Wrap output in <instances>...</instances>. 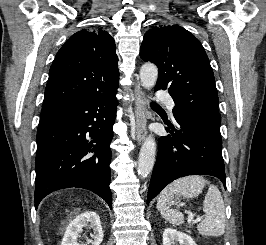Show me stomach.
I'll list each match as a JSON object with an SVG mask.
<instances>
[{"mask_svg": "<svg viewBox=\"0 0 266 245\" xmlns=\"http://www.w3.org/2000/svg\"><path fill=\"white\" fill-rule=\"evenodd\" d=\"M170 205H176L177 209H179V207H183L184 203H182L179 197H172Z\"/></svg>", "mask_w": 266, "mask_h": 245, "instance_id": "stomach-1", "label": "stomach"}]
</instances>
